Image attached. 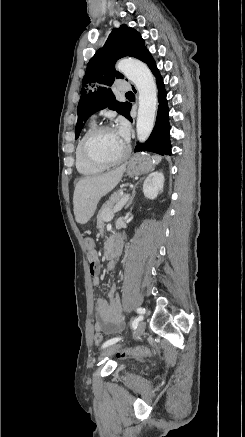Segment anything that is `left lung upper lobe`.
<instances>
[{
    "label": "left lung upper lobe",
    "instance_id": "left-lung-upper-lobe-1",
    "mask_svg": "<svg viewBox=\"0 0 245 437\" xmlns=\"http://www.w3.org/2000/svg\"><path fill=\"white\" fill-rule=\"evenodd\" d=\"M145 52V42L135 29L126 25L113 29L104 46L95 53L87 65L77 108L76 139L84 122L101 109L108 107L127 116L131 104L116 101L110 88L116 78H124L115 71L114 65L118 59L125 56L140 59Z\"/></svg>",
    "mask_w": 245,
    "mask_h": 437
}]
</instances>
